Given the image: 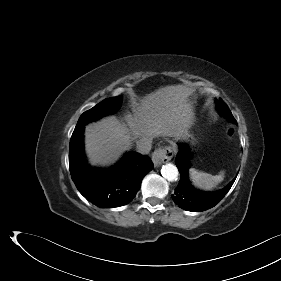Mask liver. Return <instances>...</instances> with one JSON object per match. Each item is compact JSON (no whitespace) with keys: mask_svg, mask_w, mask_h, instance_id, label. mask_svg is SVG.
I'll return each mask as SVG.
<instances>
[{"mask_svg":"<svg viewBox=\"0 0 281 281\" xmlns=\"http://www.w3.org/2000/svg\"><path fill=\"white\" fill-rule=\"evenodd\" d=\"M184 85L159 88L134 104L127 124L109 116L85 128V151L91 165L114 163L131 147L133 138L178 137L193 123L194 113Z\"/></svg>","mask_w":281,"mask_h":281,"instance_id":"1","label":"liver"}]
</instances>
